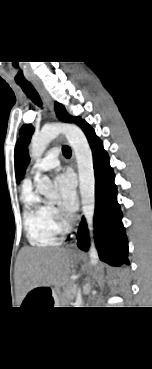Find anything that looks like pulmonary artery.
<instances>
[{"label": "pulmonary artery", "mask_w": 152, "mask_h": 369, "mask_svg": "<svg viewBox=\"0 0 152 369\" xmlns=\"http://www.w3.org/2000/svg\"><path fill=\"white\" fill-rule=\"evenodd\" d=\"M59 151L54 148L46 153L32 168V173L35 178L40 177L43 173L51 171L59 165Z\"/></svg>", "instance_id": "pulmonary-artery-1"}]
</instances>
